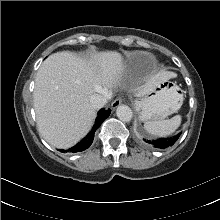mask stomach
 Instances as JSON below:
<instances>
[{
    "instance_id": "0dacf381",
    "label": "stomach",
    "mask_w": 220,
    "mask_h": 220,
    "mask_svg": "<svg viewBox=\"0 0 220 220\" xmlns=\"http://www.w3.org/2000/svg\"><path fill=\"white\" fill-rule=\"evenodd\" d=\"M182 103L183 97L179 93V87L166 80L137 100L136 106L142 121H156L177 112Z\"/></svg>"
}]
</instances>
